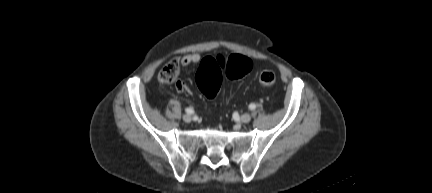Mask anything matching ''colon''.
Segmentation results:
<instances>
[{
  "label": "colon",
  "mask_w": 432,
  "mask_h": 193,
  "mask_svg": "<svg viewBox=\"0 0 432 193\" xmlns=\"http://www.w3.org/2000/svg\"><path fill=\"white\" fill-rule=\"evenodd\" d=\"M252 69V62L242 55L217 56L202 61L196 74L198 88L208 97L214 98L219 90L223 76L230 79L245 77ZM179 73V62L176 59L168 61L159 72V79L165 83L174 82ZM259 83L264 87H272L276 83L273 71H263Z\"/></svg>",
  "instance_id": "obj_1"
}]
</instances>
